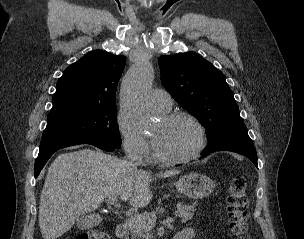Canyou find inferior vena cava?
<instances>
[{"label":"inferior vena cava","instance_id":"obj_1","mask_svg":"<svg viewBox=\"0 0 304 239\" xmlns=\"http://www.w3.org/2000/svg\"><path fill=\"white\" fill-rule=\"evenodd\" d=\"M125 153H126L127 164L131 168H137L140 165L142 166L144 165L142 155L136 147H132V146L125 147Z\"/></svg>","mask_w":304,"mask_h":239}]
</instances>
